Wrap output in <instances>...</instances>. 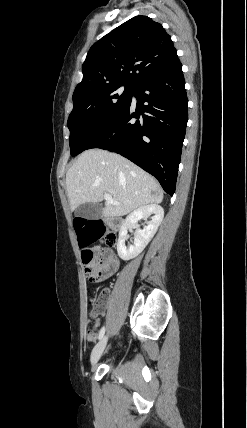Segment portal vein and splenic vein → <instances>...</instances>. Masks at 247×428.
Instances as JSON below:
<instances>
[{
    "instance_id": "18ae733b",
    "label": "portal vein and splenic vein",
    "mask_w": 247,
    "mask_h": 428,
    "mask_svg": "<svg viewBox=\"0 0 247 428\" xmlns=\"http://www.w3.org/2000/svg\"><path fill=\"white\" fill-rule=\"evenodd\" d=\"M104 199H105L107 202L111 203V204H114V205H118V204H119L117 201H115V200L111 197V195H109V194H107V193H105V194H104Z\"/></svg>"
}]
</instances>
